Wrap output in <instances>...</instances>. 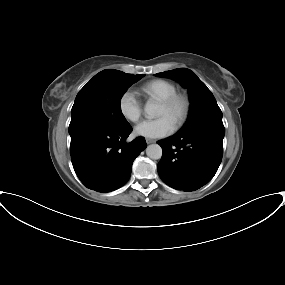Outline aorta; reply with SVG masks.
<instances>
[{"mask_svg":"<svg viewBox=\"0 0 285 285\" xmlns=\"http://www.w3.org/2000/svg\"><path fill=\"white\" fill-rule=\"evenodd\" d=\"M148 117L153 118L158 115V105L148 101L144 108ZM146 154L149 158L158 160L162 157V148L158 144H151L146 148Z\"/></svg>","mask_w":285,"mask_h":285,"instance_id":"obj_1","label":"aorta"}]
</instances>
